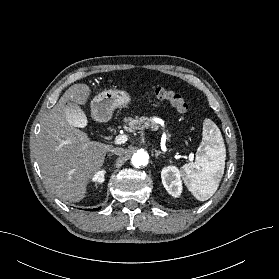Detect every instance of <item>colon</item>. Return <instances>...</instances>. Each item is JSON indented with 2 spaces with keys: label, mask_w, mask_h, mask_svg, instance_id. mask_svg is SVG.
<instances>
[{
  "label": "colon",
  "mask_w": 279,
  "mask_h": 279,
  "mask_svg": "<svg viewBox=\"0 0 279 279\" xmlns=\"http://www.w3.org/2000/svg\"><path fill=\"white\" fill-rule=\"evenodd\" d=\"M152 96L158 100L168 101L179 113L184 114L189 107L184 98L173 91L158 87L152 91Z\"/></svg>",
  "instance_id": "colon-1"
}]
</instances>
